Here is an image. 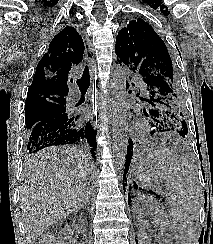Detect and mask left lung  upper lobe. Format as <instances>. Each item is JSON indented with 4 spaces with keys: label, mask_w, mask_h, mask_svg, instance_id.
Segmentation results:
<instances>
[{
    "label": "left lung upper lobe",
    "mask_w": 213,
    "mask_h": 244,
    "mask_svg": "<svg viewBox=\"0 0 213 244\" xmlns=\"http://www.w3.org/2000/svg\"><path fill=\"white\" fill-rule=\"evenodd\" d=\"M115 52L119 64L137 80L141 93L136 96L145 104L144 114L163 123L165 132L187 137V113L178 72L152 26L142 19L130 21L118 33Z\"/></svg>",
    "instance_id": "1"
}]
</instances>
